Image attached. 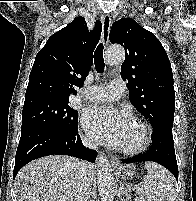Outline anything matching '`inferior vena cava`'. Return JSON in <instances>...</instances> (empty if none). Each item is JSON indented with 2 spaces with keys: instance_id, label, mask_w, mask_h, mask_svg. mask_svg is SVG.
<instances>
[{
  "instance_id": "obj_1",
  "label": "inferior vena cava",
  "mask_w": 196,
  "mask_h": 201,
  "mask_svg": "<svg viewBox=\"0 0 196 201\" xmlns=\"http://www.w3.org/2000/svg\"><path fill=\"white\" fill-rule=\"evenodd\" d=\"M84 146L90 149H96L98 144L85 138L83 139ZM90 194V178L88 177L87 163L79 161L76 163L73 186L74 201H88Z\"/></svg>"
}]
</instances>
